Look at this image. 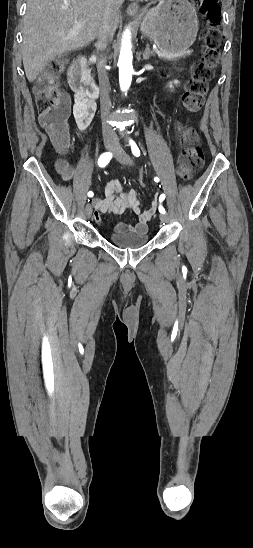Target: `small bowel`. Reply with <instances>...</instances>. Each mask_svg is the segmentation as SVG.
Segmentation results:
<instances>
[{"label": "small bowel", "mask_w": 253, "mask_h": 548, "mask_svg": "<svg viewBox=\"0 0 253 548\" xmlns=\"http://www.w3.org/2000/svg\"><path fill=\"white\" fill-rule=\"evenodd\" d=\"M96 110L94 100L81 97L76 94L73 106V114L76 120L77 127L80 130H85L90 125ZM73 169L67 168L63 173L65 180L69 181L73 178ZM103 198H95L92 200L95 213L94 219L97 223H101V213H109L113 215H121L127 210H131L138 216L136 225H130L123 222L116 224L115 231L119 233L132 232L143 233L147 231V223L155 213V206L149 210L142 209V202L138 194L133 189H126L117 179H110L103 191Z\"/></svg>", "instance_id": "1"}]
</instances>
